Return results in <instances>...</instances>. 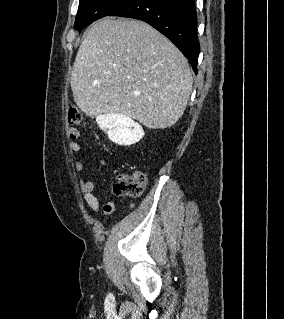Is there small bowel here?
<instances>
[{
    "mask_svg": "<svg viewBox=\"0 0 284 319\" xmlns=\"http://www.w3.org/2000/svg\"><path fill=\"white\" fill-rule=\"evenodd\" d=\"M69 136L71 139L69 142L70 150L76 154H80L82 149H81L80 144L77 142V140L80 136L79 131L76 128H70L69 129ZM100 163L103 166L107 165V162L103 159L100 160ZM75 168L78 172L81 171L83 169L82 163L79 161H76ZM80 189H81V192L83 194V198H84L85 202L87 203V205L90 207V209L92 211L98 212L101 208L102 213L104 215H110L111 213H113V211L115 209V203L113 200L109 199L103 204L102 207L100 206L99 197L96 193V184L94 181L82 180L80 182Z\"/></svg>",
    "mask_w": 284,
    "mask_h": 319,
    "instance_id": "obj_1",
    "label": "small bowel"
}]
</instances>
